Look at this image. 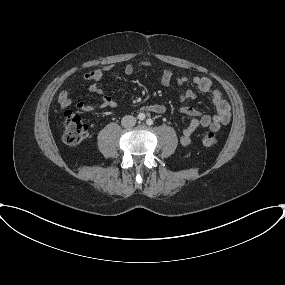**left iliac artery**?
Masks as SVG:
<instances>
[{"instance_id":"left-iliac-artery-1","label":"left iliac artery","mask_w":285,"mask_h":285,"mask_svg":"<svg viewBox=\"0 0 285 285\" xmlns=\"http://www.w3.org/2000/svg\"><path fill=\"white\" fill-rule=\"evenodd\" d=\"M146 123H147V125L150 126V125L153 124V120L149 118V119L146 120Z\"/></svg>"}]
</instances>
